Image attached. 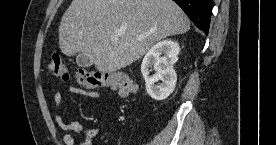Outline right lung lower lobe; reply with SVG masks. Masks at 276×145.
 Wrapping results in <instances>:
<instances>
[{
	"label": "right lung lower lobe",
	"instance_id": "1",
	"mask_svg": "<svg viewBox=\"0 0 276 145\" xmlns=\"http://www.w3.org/2000/svg\"><path fill=\"white\" fill-rule=\"evenodd\" d=\"M193 21V23L208 34L211 17L212 0H173Z\"/></svg>",
	"mask_w": 276,
	"mask_h": 145
}]
</instances>
